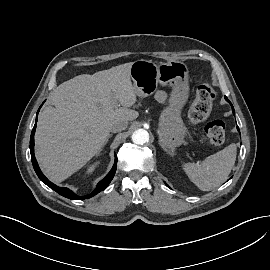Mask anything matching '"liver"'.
Instances as JSON below:
<instances>
[{
    "mask_svg": "<svg viewBox=\"0 0 270 270\" xmlns=\"http://www.w3.org/2000/svg\"><path fill=\"white\" fill-rule=\"evenodd\" d=\"M132 63L78 75L53 91L35 134V155L50 180L67 179L98 154L113 123L139 116L130 109L137 101L130 77ZM114 100L122 107L114 106Z\"/></svg>",
    "mask_w": 270,
    "mask_h": 270,
    "instance_id": "obj_1",
    "label": "liver"
}]
</instances>
